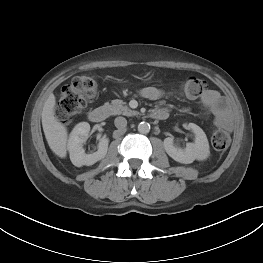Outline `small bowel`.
<instances>
[{"mask_svg":"<svg viewBox=\"0 0 263 263\" xmlns=\"http://www.w3.org/2000/svg\"><path fill=\"white\" fill-rule=\"evenodd\" d=\"M141 96L148 100H159L166 95L162 89L156 87H146L140 92ZM202 106L208 110L214 117L217 125L223 128L230 127V115L227 110L226 104L220 94L215 90H207L201 97Z\"/></svg>","mask_w":263,"mask_h":263,"instance_id":"obj_1","label":"small bowel"}]
</instances>
